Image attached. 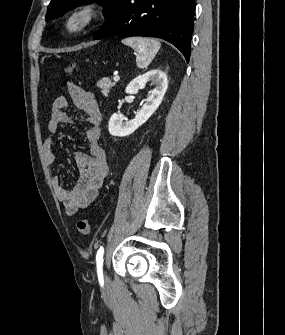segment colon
<instances>
[{"mask_svg":"<svg viewBox=\"0 0 285 335\" xmlns=\"http://www.w3.org/2000/svg\"><path fill=\"white\" fill-rule=\"evenodd\" d=\"M66 73L71 75L74 73L75 71V64L74 63H70L66 66V69H65ZM77 230L82 233V234H89L90 232V223L87 219L85 218H80L78 221H77Z\"/></svg>","mask_w":285,"mask_h":335,"instance_id":"obj_1","label":"colon"}]
</instances>
